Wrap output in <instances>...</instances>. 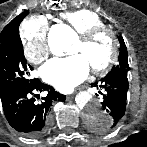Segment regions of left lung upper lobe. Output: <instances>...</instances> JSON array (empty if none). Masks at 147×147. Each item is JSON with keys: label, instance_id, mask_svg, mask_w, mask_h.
Listing matches in <instances>:
<instances>
[{"label": "left lung upper lobe", "instance_id": "1", "mask_svg": "<svg viewBox=\"0 0 147 147\" xmlns=\"http://www.w3.org/2000/svg\"><path fill=\"white\" fill-rule=\"evenodd\" d=\"M119 42H120V53L118 57L119 64L114 66L105 77L111 76L113 74H117L121 71L129 70L127 48L122 36H119Z\"/></svg>", "mask_w": 147, "mask_h": 147}]
</instances>
